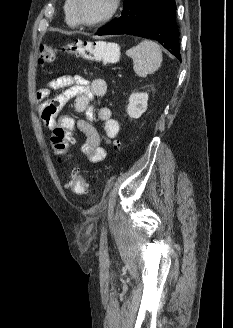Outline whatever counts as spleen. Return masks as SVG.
I'll use <instances>...</instances> for the list:
<instances>
[{"mask_svg":"<svg viewBox=\"0 0 233 328\" xmlns=\"http://www.w3.org/2000/svg\"><path fill=\"white\" fill-rule=\"evenodd\" d=\"M107 49H115L117 45L108 43ZM126 55L133 60L134 72L144 77L159 69L162 63V51L160 46L151 40H143L138 45L128 49Z\"/></svg>","mask_w":233,"mask_h":328,"instance_id":"spleen-1","label":"spleen"}]
</instances>
